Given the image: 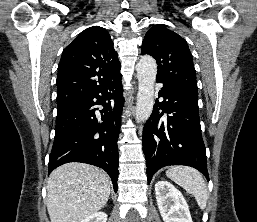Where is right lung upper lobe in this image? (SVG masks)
Returning a JSON list of instances; mask_svg holds the SVG:
<instances>
[{
	"mask_svg": "<svg viewBox=\"0 0 257 222\" xmlns=\"http://www.w3.org/2000/svg\"><path fill=\"white\" fill-rule=\"evenodd\" d=\"M120 68L107 30L87 28L62 53L56 81L57 105L68 106L91 95L112 80Z\"/></svg>",
	"mask_w": 257,
	"mask_h": 222,
	"instance_id": "cb5924a9",
	"label": "right lung upper lobe"
}]
</instances>
